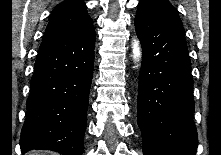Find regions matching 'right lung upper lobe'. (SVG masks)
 Returning a JSON list of instances; mask_svg holds the SVG:
<instances>
[{"instance_id": "right-lung-upper-lobe-1", "label": "right lung upper lobe", "mask_w": 221, "mask_h": 155, "mask_svg": "<svg viewBox=\"0 0 221 155\" xmlns=\"http://www.w3.org/2000/svg\"><path fill=\"white\" fill-rule=\"evenodd\" d=\"M91 23L83 0H66L54 8L45 34L78 30Z\"/></svg>"}]
</instances>
